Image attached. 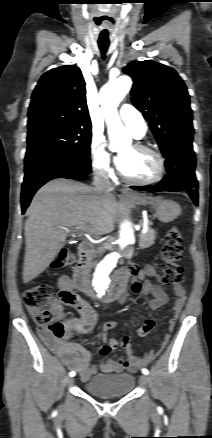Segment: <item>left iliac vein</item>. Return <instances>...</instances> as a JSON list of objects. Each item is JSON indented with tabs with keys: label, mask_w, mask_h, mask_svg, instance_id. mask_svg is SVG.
<instances>
[{
	"label": "left iliac vein",
	"mask_w": 212,
	"mask_h": 438,
	"mask_svg": "<svg viewBox=\"0 0 212 438\" xmlns=\"http://www.w3.org/2000/svg\"><path fill=\"white\" fill-rule=\"evenodd\" d=\"M140 383H141V385L143 386V387H147V385L149 384V378H148V376L147 375H145V374H142L141 376H140Z\"/></svg>",
	"instance_id": "4c4485c4"
}]
</instances>
